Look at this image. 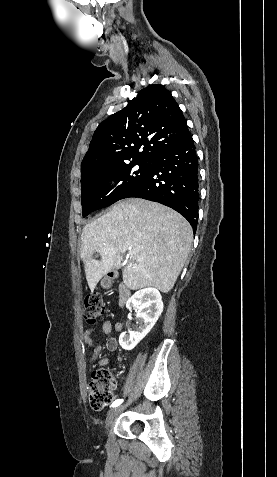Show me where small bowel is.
Wrapping results in <instances>:
<instances>
[{"label":"small bowel","mask_w":277,"mask_h":477,"mask_svg":"<svg viewBox=\"0 0 277 477\" xmlns=\"http://www.w3.org/2000/svg\"><path fill=\"white\" fill-rule=\"evenodd\" d=\"M113 330L115 332H120L122 330V324L117 322L113 325L110 320H106L102 325V331L104 335L108 336L105 342V347L109 352H114L118 349L117 339L113 336H109ZM93 332V329H87L83 333V340L92 353L89 363L94 367H103L109 364L110 359L107 357H101L102 346L98 343H95L92 339Z\"/></svg>","instance_id":"small-bowel-1"}]
</instances>
